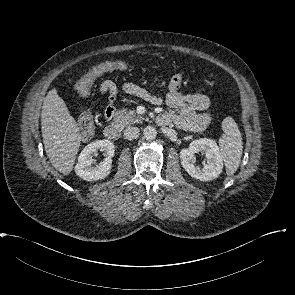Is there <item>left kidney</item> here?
<instances>
[{
  "label": "left kidney",
  "mask_w": 295,
  "mask_h": 295,
  "mask_svg": "<svg viewBox=\"0 0 295 295\" xmlns=\"http://www.w3.org/2000/svg\"><path fill=\"white\" fill-rule=\"evenodd\" d=\"M205 152L207 163L203 167L195 166V153ZM182 167L191 176L201 181L217 178L223 168V159L216 142L212 139L201 138L191 142L188 148L180 151Z\"/></svg>",
  "instance_id": "5707ae66"
}]
</instances>
